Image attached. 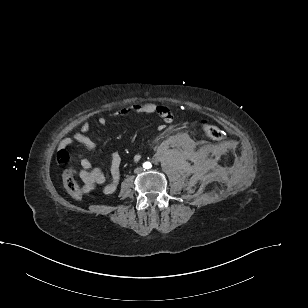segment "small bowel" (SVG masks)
Returning <instances> with one entry per match:
<instances>
[{"instance_id": "1", "label": "small bowel", "mask_w": 308, "mask_h": 308, "mask_svg": "<svg viewBox=\"0 0 308 308\" xmlns=\"http://www.w3.org/2000/svg\"><path fill=\"white\" fill-rule=\"evenodd\" d=\"M147 114H156L165 123H170L173 120V115L166 106L155 103L133 104L115 112L112 116L120 117L126 115ZM97 121L100 125H106L108 119L104 116H101L98 118ZM161 128H163V126H161ZM89 129L90 124L88 122H84L80 128V131L74 135L73 140L70 138L63 139L60 143V148H65L69 146L73 141H75L76 143L81 145L85 151H94L95 143L86 135ZM186 139V134L177 133L169 137L167 139V142L180 144L186 141ZM77 162L80 167V177L84 183V188L87 191L93 190L98 185H103L105 193L112 194L115 192L120 180L121 165V157L117 152L111 154L108 175H106L102 169L98 167H92L89 160L85 157H79Z\"/></svg>"}]
</instances>
